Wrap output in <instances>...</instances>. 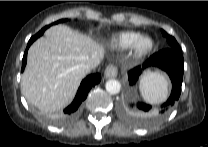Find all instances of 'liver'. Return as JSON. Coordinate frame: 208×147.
<instances>
[{
	"label": "liver",
	"instance_id": "6515ba94",
	"mask_svg": "<svg viewBox=\"0 0 208 147\" xmlns=\"http://www.w3.org/2000/svg\"><path fill=\"white\" fill-rule=\"evenodd\" d=\"M104 55V47L92 38L68 26L54 25L29 48L22 91L44 112L62 110L87 74L85 65H99Z\"/></svg>",
	"mask_w": 208,
	"mask_h": 147
}]
</instances>
